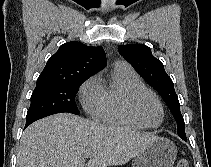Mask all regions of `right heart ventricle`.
<instances>
[{
  "label": "right heart ventricle",
  "instance_id": "e07e8e85",
  "mask_svg": "<svg viewBox=\"0 0 211 167\" xmlns=\"http://www.w3.org/2000/svg\"><path fill=\"white\" fill-rule=\"evenodd\" d=\"M113 84L101 85V96L97 109L92 113L94 118L111 126L140 130L143 127L137 124L126 112L124 100L126 94L143 82L137 73L130 67L116 66L112 73Z\"/></svg>",
  "mask_w": 211,
  "mask_h": 167
}]
</instances>
